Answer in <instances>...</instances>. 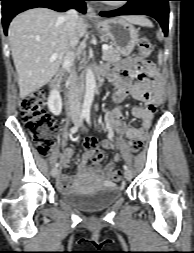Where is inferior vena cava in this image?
Listing matches in <instances>:
<instances>
[{"label":"inferior vena cava","mask_w":194,"mask_h":253,"mask_svg":"<svg viewBox=\"0 0 194 253\" xmlns=\"http://www.w3.org/2000/svg\"><path fill=\"white\" fill-rule=\"evenodd\" d=\"M63 19L69 31L70 44L74 46L78 43V37L76 35L78 13L76 10L70 9L65 13V15H63ZM74 61L75 53L72 51H68L65 55L64 63L67 65L68 71L73 77V81L71 82L69 87L68 95L69 115L72 119H78L81 115L80 97L82 94V88L79 87V85L75 82L76 73L73 69Z\"/></svg>","instance_id":"602c4592"}]
</instances>
